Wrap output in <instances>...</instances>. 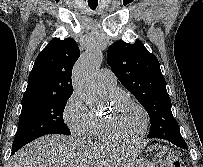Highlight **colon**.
Listing matches in <instances>:
<instances>
[{
    "instance_id": "obj_1",
    "label": "colon",
    "mask_w": 203,
    "mask_h": 167,
    "mask_svg": "<svg viewBox=\"0 0 203 167\" xmlns=\"http://www.w3.org/2000/svg\"><path fill=\"white\" fill-rule=\"evenodd\" d=\"M158 167H181V164L171 155L160 152L156 157Z\"/></svg>"
}]
</instances>
